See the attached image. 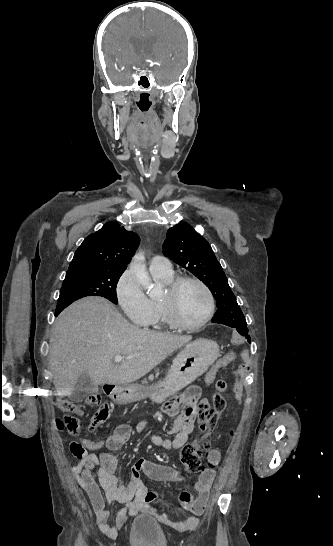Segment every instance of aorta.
<instances>
[{"label":"aorta","instance_id":"aorta-1","mask_svg":"<svg viewBox=\"0 0 333 546\" xmlns=\"http://www.w3.org/2000/svg\"><path fill=\"white\" fill-rule=\"evenodd\" d=\"M144 254L137 253L131 262V269L135 273L137 282L150 293L152 292L153 283L149 277L146 266L144 264Z\"/></svg>","mask_w":333,"mask_h":546}]
</instances>
